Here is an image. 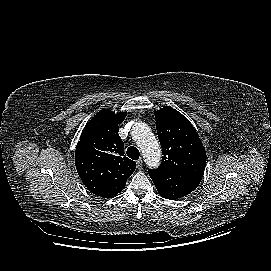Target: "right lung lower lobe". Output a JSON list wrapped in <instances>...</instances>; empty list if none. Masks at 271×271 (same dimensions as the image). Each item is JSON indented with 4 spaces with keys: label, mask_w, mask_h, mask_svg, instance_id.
Returning a JSON list of instances; mask_svg holds the SVG:
<instances>
[{
    "label": "right lung lower lobe",
    "mask_w": 271,
    "mask_h": 271,
    "mask_svg": "<svg viewBox=\"0 0 271 271\" xmlns=\"http://www.w3.org/2000/svg\"><path fill=\"white\" fill-rule=\"evenodd\" d=\"M86 186V185H85ZM93 194L97 195V196H101L104 197L105 195H108V197H111L110 195H117L118 193H120L123 189H117L114 187V185L111 184H98L95 186H90L87 185L86 186ZM117 189V190H114ZM107 198V197H104Z\"/></svg>",
    "instance_id": "1"
}]
</instances>
